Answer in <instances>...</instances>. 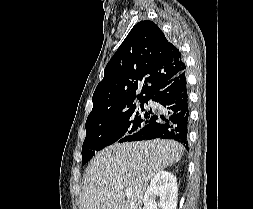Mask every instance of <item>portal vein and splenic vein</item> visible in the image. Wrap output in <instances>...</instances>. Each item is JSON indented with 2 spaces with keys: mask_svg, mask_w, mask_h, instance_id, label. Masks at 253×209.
<instances>
[{
  "mask_svg": "<svg viewBox=\"0 0 253 209\" xmlns=\"http://www.w3.org/2000/svg\"><path fill=\"white\" fill-rule=\"evenodd\" d=\"M132 194H133V190H132L131 188H127V189L125 190V195H126L127 197H131Z\"/></svg>",
  "mask_w": 253,
  "mask_h": 209,
  "instance_id": "1",
  "label": "portal vein and splenic vein"
}]
</instances>
